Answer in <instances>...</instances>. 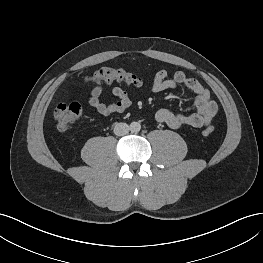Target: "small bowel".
<instances>
[{
	"label": "small bowel",
	"mask_w": 263,
	"mask_h": 263,
	"mask_svg": "<svg viewBox=\"0 0 263 263\" xmlns=\"http://www.w3.org/2000/svg\"><path fill=\"white\" fill-rule=\"evenodd\" d=\"M178 86H185L194 93L197 111L192 114H179L162 107L155 114L156 120L172 129H179L184 126L194 128L209 126L217 112V104L211 98L208 89L195 78L187 76L183 71H176L169 77L168 72L162 69L155 74L151 83V91L160 93ZM103 90L104 85L97 84L92 87L87 98L88 105L100 115L107 117L120 114L131 106V98L125 89L119 86L111 88V93L117 98V101L112 103L101 101Z\"/></svg>",
	"instance_id": "obj_1"
}]
</instances>
